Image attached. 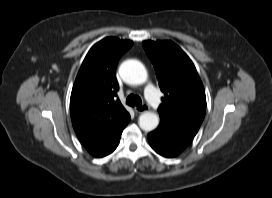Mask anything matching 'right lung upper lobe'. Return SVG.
<instances>
[{"instance_id": "obj_1", "label": "right lung upper lobe", "mask_w": 272, "mask_h": 198, "mask_svg": "<svg viewBox=\"0 0 272 198\" xmlns=\"http://www.w3.org/2000/svg\"><path fill=\"white\" fill-rule=\"evenodd\" d=\"M133 42L107 37L86 55L70 98L71 120L84 147L100 140L128 112L116 99L115 71L120 57Z\"/></svg>"}]
</instances>
